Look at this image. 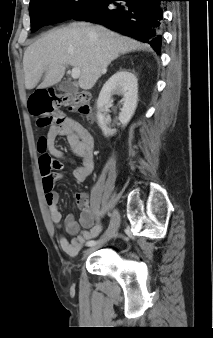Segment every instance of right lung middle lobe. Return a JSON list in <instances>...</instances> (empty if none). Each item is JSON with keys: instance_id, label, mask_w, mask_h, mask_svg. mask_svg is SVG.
Returning <instances> with one entry per match:
<instances>
[{"instance_id": "obj_1", "label": "right lung middle lobe", "mask_w": 213, "mask_h": 338, "mask_svg": "<svg viewBox=\"0 0 213 338\" xmlns=\"http://www.w3.org/2000/svg\"><path fill=\"white\" fill-rule=\"evenodd\" d=\"M95 1L96 0H31L29 7L31 31L34 32L45 25L69 20Z\"/></svg>"}]
</instances>
